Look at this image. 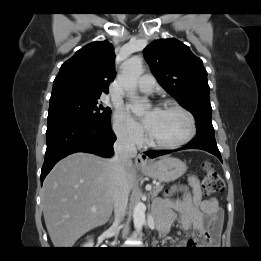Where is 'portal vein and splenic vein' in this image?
Instances as JSON below:
<instances>
[{
  "mask_svg": "<svg viewBox=\"0 0 261 261\" xmlns=\"http://www.w3.org/2000/svg\"><path fill=\"white\" fill-rule=\"evenodd\" d=\"M151 188H152V186L151 185H147L146 186V190H148V191H150L151 190ZM94 210V209H93Z\"/></svg>",
  "mask_w": 261,
  "mask_h": 261,
  "instance_id": "1",
  "label": "portal vein and splenic vein"
}]
</instances>
